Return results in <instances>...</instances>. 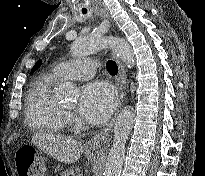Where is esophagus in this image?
Listing matches in <instances>:
<instances>
[{
  "label": "esophagus",
  "instance_id": "obj_1",
  "mask_svg": "<svg viewBox=\"0 0 205 176\" xmlns=\"http://www.w3.org/2000/svg\"><path fill=\"white\" fill-rule=\"evenodd\" d=\"M96 14L102 18L108 17V15L105 13L104 9L98 7L96 8ZM112 56L116 62V65L118 67V76L116 78V84L118 87V92H119V107L117 111L115 112V115L113 116L112 120L110 121L109 124H107L101 131H99L95 136H93L88 142H87V147L88 148H97V147H102L109 136V134L112 131L113 125L115 123V120L117 118V115L120 111V108L123 104L124 98L126 96V72L124 69V66L120 59L112 53Z\"/></svg>",
  "mask_w": 205,
  "mask_h": 176
}]
</instances>
